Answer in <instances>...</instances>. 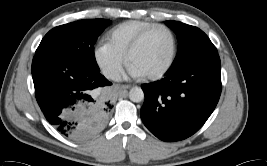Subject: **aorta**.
Segmentation results:
<instances>
[{
    "label": "aorta",
    "instance_id": "762f6f07",
    "mask_svg": "<svg viewBox=\"0 0 267 166\" xmlns=\"http://www.w3.org/2000/svg\"><path fill=\"white\" fill-rule=\"evenodd\" d=\"M129 98L133 102H140L144 99V92L139 87H134L129 92Z\"/></svg>",
    "mask_w": 267,
    "mask_h": 166
}]
</instances>
